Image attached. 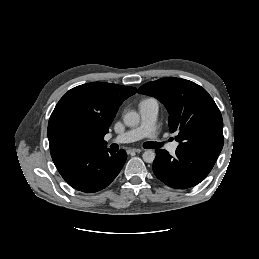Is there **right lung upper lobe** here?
I'll use <instances>...</instances> for the list:
<instances>
[{
  "instance_id": "1",
  "label": "right lung upper lobe",
  "mask_w": 259,
  "mask_h": 259,
  "mask_svg": "<svg viewBox=\"0 0 259 259\" xmlns=\"http://www.w3.org/2000/svg\"><path fill=\"white\" fill-rule=\"evenodd\" d=\"M134 87L94 82L69 90L57 103L48 123L51 157L71 156L106 148L119 106L135 94Z\"/></svg>"
}]
</instances>
